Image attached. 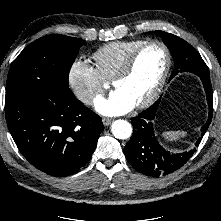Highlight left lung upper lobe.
I'll use <instances>...</instances> for the list:
<instances>
[{"label":"left lung upper lobe","mask_w":221,"mask_h":221,"mask_svg":"<svg viewBox=\"0 0 221 221\" xmlns=\"http://www.w3.org/2000/svg\"><path fill=\"white\" fill-rule=\"evenodd\" d=\"M152 33V32H149ZM169 48L174 59L175 68L170 77L173 78L179 72H192L200 77L210 78L209 69L200 54L183 39L163 31H155Z\"/></svg>","instance_id":"1"}]
</instances>
